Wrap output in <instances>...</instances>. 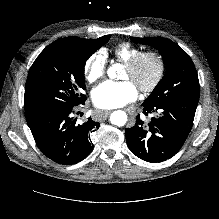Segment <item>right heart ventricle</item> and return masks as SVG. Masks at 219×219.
I'll return each instance as SVG.
<instances>
[{"label": "right heart ventricle", "instance_id": "e07e8e85", "mask_svg": "<svg viewBox=\"0 0 219 219\" xmlns=\"http://www.w3.org/2000/svg\"><path fill=\"white\" fill-rule=\"evenodd\" d=\"M142 52L140 47L134 46L129 42L119 43L113 50L114 57L125 64Z\"/></svg>", "mask_w": 219, "mask_h": 219}]
</instances>
